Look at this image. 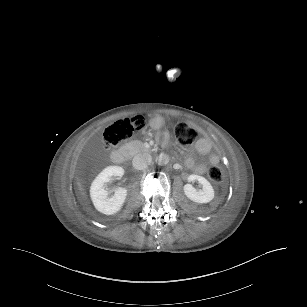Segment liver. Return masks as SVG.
Segmentation results:
<instances>
[{
    "label": "liver",
    "mask_w": 307,
    "mask_h": 307,
    "mask_svg": "<svg viewBox=\"0 0 307 307\" xmlns=\"http://www.w3.org/2000/svg\"><path fill=\"white\" fill-rule=\"evenodd\" d=\"M77 184H78L79 190L82 191L83 188L81 187V184L79 182ZM82 194H84V193H82Z\"/></svg>",
    "instance_id": "1"
}]
</instances>
